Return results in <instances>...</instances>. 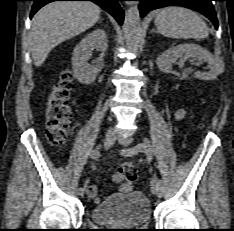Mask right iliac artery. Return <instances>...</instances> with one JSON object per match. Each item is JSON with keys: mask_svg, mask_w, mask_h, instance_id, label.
<instances>
[{"mask_svg": "<svg viewBox=\"0 0 234 231\" xmlns=\"http://www.w3.org/2000/svg\"><path fill=\"white\" fill-rule=\"evenodd\" d=\"M99 155H100V154H99V151H98L97 149L92 150V151L90 152V157H91L92 159H97V158L99 157ZM86 187H87V182L84 184L83 188H79L78 190H79V191H84Z\"/></svg>", "mask_w": 234, "mask_h": 231, "instance_id": "right-iliac-artery-1", "label": "right iliac artery"}]
</instances>
